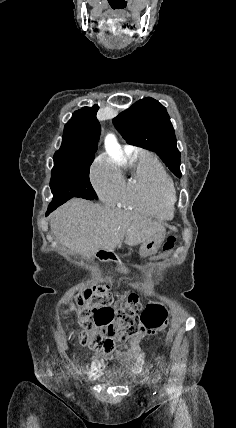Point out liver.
Here are the masks:
<instances>
[{
    "label": "liver",
    "instance_id": "liver-1",
    "mask_svg": "<svg viewBox=\"0 0 236 428\" xmlns=\"http://www.w3.org/2000/svg\"><path fill=\"white\" fill-rule=\"evenodd\" d=\"M50 228L63 246L83 258H93L99 250H114L122 242L138 246L156 236H165L166 232L152 218L117 212L81 198H73L52 212Z\"/></svg>",
    "mask_w": 236,
    "mask_h": 428
}]
</instances>
